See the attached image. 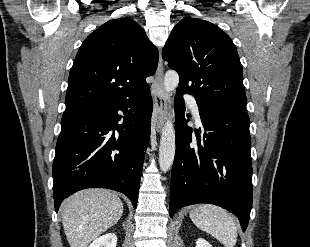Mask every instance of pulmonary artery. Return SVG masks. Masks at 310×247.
<instances>
[{
	"label": "pulmonary artery",
	"mask_w": 310,
	"mask_h": 247,
	"mask_svg": "<svg viewBox=\"0 0 310 247\" xmlns=\"http://www.w3.org/2000/svg\"><path fill=\"white\" fill-rule=\"evenodd\" d=\"M184 98L195 118L200 121V111L196 99L189 95H186Z\"/></svg>",
	"instance_id": "obj_1"
}]
</instances>
